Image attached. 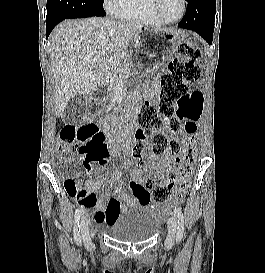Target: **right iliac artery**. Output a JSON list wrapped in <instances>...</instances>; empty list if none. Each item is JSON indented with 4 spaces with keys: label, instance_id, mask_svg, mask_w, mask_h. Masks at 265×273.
Returning a JSON list of instances; mask_svg holds the SVG:
<instances>
[{
    "label": "right iliac artery",
    "instance_id": "obj_1",
    "mask_svg": "<svg viewBox=\"0 0 265 273\" xmlns=\"http://www.w3.org/2000/svg\"><path fill=\"white\" fill-rule=\"evenodd\" d=\"M84 212V208L82 206H80L78 209H76L75 211V218H74V240L76 242L77 245H80L81 244V235H80V226H79V220H80V217L81 215L83 214Z\"/></svg>",
    "mask_w": 265,
    "mask_h": 273
}]
</instances>
